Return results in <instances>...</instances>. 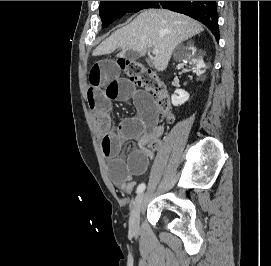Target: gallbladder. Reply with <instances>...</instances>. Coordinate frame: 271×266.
<instances>
[{
    "mask_svg": "<svg viewBox=\"0 0 271 266\" xmlns=\"http://www.w3.org/2000/svg\"><path fill=\"white\" fill-rule=\"evenodd\" d=\"M124 57L127 58V59H133V58H135L134 52L133 51H127V52H125Z\"/></svg>",
    "mask_w": 271,
    "mask_h": 266,
    "instance_id": "obj_1",
    "label": "gallbladder"
}]
</instances>
